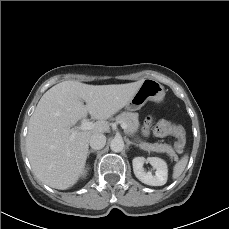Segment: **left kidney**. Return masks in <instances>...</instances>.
I'll list each match as a JSON object with an SVG mask.
<instances>
[{
	"mask_svg": "<svg viewBox=\"0 0 229 229\" xmlns=\"http://www.w3.org/2000/svg\"><path fill=\"white\" fill-rule=\"evenodd\" d=\"M148 161L156 170L155 175L151 172H145L143 164ZM133 171L135 176L144 184L151 186H162L167 182L168 167L167 163L158 157H135L132 160Z\"/></svg>",
	"mask_w": 229,
	"mask_h": 229,
	"instance_id": "5707ae66",
	"label": "left kidney"
}]
</instances>
